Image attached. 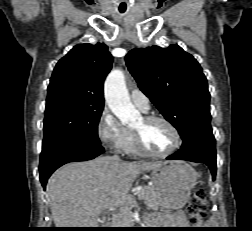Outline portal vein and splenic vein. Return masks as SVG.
Segmentation results:
<instances>
[{
  "mask_svg": "<svg viewBox=\"0 0 252 231\" xmlns=\"http://www.w3.org/2000/svg\"><path fill=\"white\" fill-rule=\"evenodd\" d=\"M133 201V198L132 197H124L121 201V204L125 203V202H128V203H131Z\"/></svg>",
  "mask_w": 252,
  "mask_h": 231,
  "instance_id": "obj_1",
  "label": "portal vein and splenic vein"
}]
</instances>
